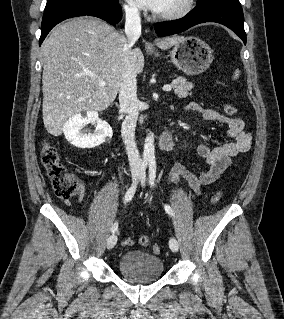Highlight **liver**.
<instances>
[{
    "mask_svg": "<svg viewBox=\"0 0 284 319\" xmlns=\"http://www.w3.org/2000/svg\"><path fill=\"white\" fill-rule=\"evenodd\" d=\"M182 37L158 40L168 49ZM43 122L53 136L62 134L72 116L104 111L115 100L128 68H144L139 48L131 50L127 38L94 17L72 19L56 26L41 46ZM105 81L104 86L99 82Z\"/></svg>",
    "mask_w": 284,
    "mask_h": 319,
    "instance_id": "6515ba94",
    "label": "liver"
}]
</instances>
